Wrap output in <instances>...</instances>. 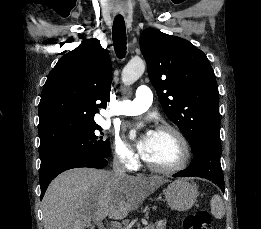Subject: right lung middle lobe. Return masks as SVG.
<instances>
[{
	"label": "right lung middle lobe",
	"mask_w": 261,
	"mask_h": 229,
	"mask_svg": "<svg viewBox=\"0 0 261 229\" xmlns=\"http://www.w3.org/2000/svg\"><path fill=\"white\" fill-rule=\"evenodd\" d=\"M102 129L95 125L81 136L57 145L40 150L41 166L56 161L78 158H107L110 154L109 140L95 134V130ZM103 135V133H101Z\"/></svg>",
	"instance_id": "1"
}]
</instances>
